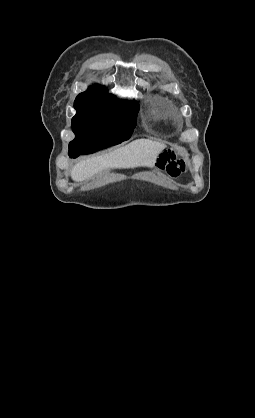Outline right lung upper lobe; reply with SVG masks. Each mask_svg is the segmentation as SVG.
Returning a JSON list of instances; mask_svg holds the SVG:
<instances>
[{
    "label": "right lung upper lobe",
    "instance_id": "1",
    "mask_svg": "<svg viewBox=\"0 0 255 418\" xmlns=\"http://www.w3.org/2000/svg\"><path fill=\"white\" fill-rule=\"evenodd\" d=\"M98 93H108V92H107L105 87H103L99 84H96L92 87H89V89L87 91L82 92L79 95H82V94H98Z\"/></svg>",
    "mask_w": 255,
    "mask_h": 418
}]
</instances>
